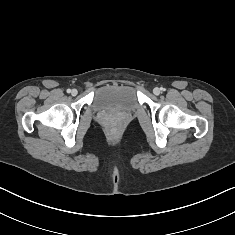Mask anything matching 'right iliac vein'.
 Here are the masks:
<instances>
[{"label": "right iliac vein", "mask_w": 235, "mask_h": 235, "mask_svg": "<svg viewBox=\"0 0 235 235\" xmlns=\"http://www.w3.org/2000/svg\"><path fill=\"white\" fill-rule=\"evenodd\" d=\"M71 94H72L73 96H76V95L78 94V91H77L76 89H73V90L71 91Z\"/></svg>", "instance_id": "right-iliac-vein-1"}]
</instances>
